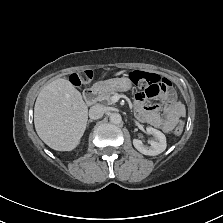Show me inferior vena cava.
Returning a JSON list of instances; mask_svg holds the SVG:
<instances>
[{
	"label": "inferior vena cava",
	"mask_w": 223,
	"mask_h": 223,
	"mask_svg": "<svg viewBox=\"0 0 223 223\" xmlns=\"http://www.w3.org/2000/svg\"><path fill=\"white\" fill-rule=\"evenodd\" d=\"M104 112H105L104 106L97 104L90 108L89 117L91 119H98L104 114Z\"/></svg>",
	"instance_id": "602c4592"
}]
</instances>
